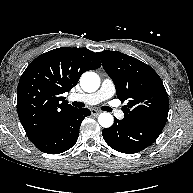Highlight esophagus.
<instances>
[{
  "label": "esophagus",
  "instance_id": "obj_1",
  "mask_svg": "<svg viewBox=\"0 0 193 193\" xmlns=\"http://www.w3.org/2000/svg\"><path fill=\"white\" fill-rule=\"evenodd\" d=\"M100 112H101V111H99V110H97V109H91V114H92L93 116L99 115Z\"/></svg>",
  "mask_w": 193,
  "mask_h": 193
}]
</instances>
